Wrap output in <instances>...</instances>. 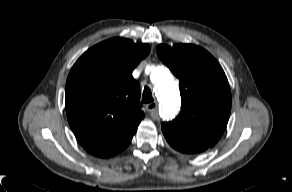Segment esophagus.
<instances>
[{
    "mask_svg": "<svg viewBox=\"0 0 292 192\" xmlns=\"http://www.w3.org/2000/svg\"><path fill=\"white\" fill-rule=\"evenodd\" d=\"M157 108V103L156 102H151L146 105V109L148 112H153Z\"/></svg>",
    "mask_w": 292,
    "mask_h": 192,
    "instance_id": "34e87169",
    "label": "esophagus"
}]
</instances>
